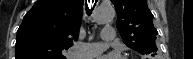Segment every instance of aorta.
<instances>
[{
  "label": "aorta",
  "mask_w": 193,
  "mask_h": 59,
  "mask_svg": "<svg viewBox=\"0 0 193 59\" xmlns=\"http://www.w3.org/2000/svg\"><path fill=\"white\" fill-rule=\"evenodd\" d=\"M115 17V9L110 4H101L93 14V20L97 24H105L111 22Z\"/></svg>",
  "instance_id": "762f6f07"
}]
</instances>
